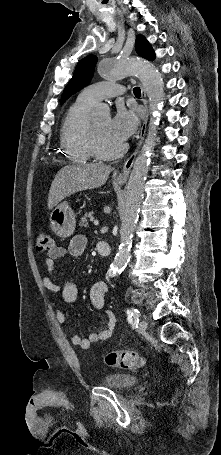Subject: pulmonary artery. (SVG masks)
<instances>
[{
  "label": "pulmonary artery",
  "mask_w": 221,
  "mask_h": 455,
  "mask_svg": "<svg viewBox=\"0 0 221 455\" xmlns=\"http://www.w3.org/2000/svg\"><path fill=\"white\" fill-rule=\"evenodd\" d=\"M124 92L125 88L122 85L104 81L87 86L79 96L83 101L94 105L105 98L120 95Z\"/></svg>",
  "instance_id": "pulmonary-artery-1"
}]
</instances>
